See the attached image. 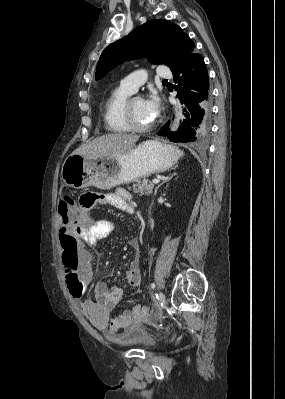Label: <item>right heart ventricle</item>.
Wrapping results in <instances>:
<instances>
[{"label":"right heart ventricle","instance_id":"right-heart-ventricle-1","mask_svg":"<svg viewBox=\"0 0 285 399\" xmlns=\"http://www.w3.org/2000/svg\"><path fill=\"white\" fill-rule=\"evenodd\" d=\"M132 93L122 86L116 87L104 104V122L107 130L116 134L130 132L125 117L124 105Z\"/></svg>","mask_w":285,"mask_h":399}]
</instances>
